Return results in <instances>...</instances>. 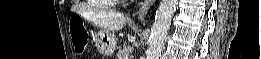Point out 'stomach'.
Masks as SVG:
<instances>
[{"label":"stomach","mask_w":261,"mask_h":59,"mask_svg":"<svg viewBox=\"0 0 261 59\" xmlns=\"http://www.w3.org/2000/svg\"><path fill=\"white\" fill-rule=\"evenodd\" d=\"M95 44L100 54L110 56L116 49L117 39L113 33L101 30L95 36Z\"/></svg>","instance_id":"stomach-1"}]
</instances>
